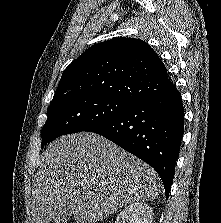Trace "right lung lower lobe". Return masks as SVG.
<instances>
[{
    "mask_svg": "<svg viewBox=\"0 0 221 223\" xmlns=\"http://www.w3.org/2000/svg\"><path fill=\"white\" fill-rule=\"evenodd\" d=\"M86 131L102 135L152 166L168 198L184 132V107L177 89L136 101Z\"/></svg>",
    "mask_w": 221,
    "mask_h": 223,
    "instance_id": "1",
    "label": "right lung lower lobe"
}]
</instances>
